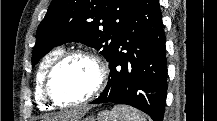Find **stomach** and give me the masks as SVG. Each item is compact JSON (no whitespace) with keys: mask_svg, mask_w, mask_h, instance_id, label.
<instances>
[{"mask_svg":"<svg viewBox=\"0 0 217 121\" xmlns=\"http://www.w3.org/2000/svg\"><path fill=\"white\" fill-rule=\"evenodd\" d=\"M85 121H96V119L94 117H89V118H86Z\"/></svg>","mask_w":217,"mask_h":121,"instance_id":"1","label":"stomach"}]
</instances>
